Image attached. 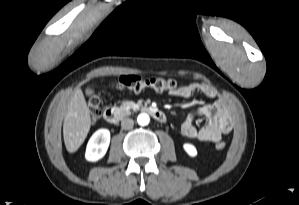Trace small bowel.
<instances>
[{"mask_svg":"<svg viewBox=\"0 0 299 205\" xmlns=\"http://www.w3.org/2000/svg\"><path fill=\"white\" fill-rule=\"evenodd\" d=\"M172 94L181 98H190L195 94H202L208 98H216L214 102L206 104L191 115L181 124V133L193 139L208 142H218L222 136L228 134L232 129V121L226 102L217 98L216 90L207 83L193 82L172 91ZM205 118L206 124L198 127L195 120Z\"/></svg>","mask_w":299,"mask_h":205,"instance_id":"small-bowel-1","label":"small bowel"}]
</instances>
